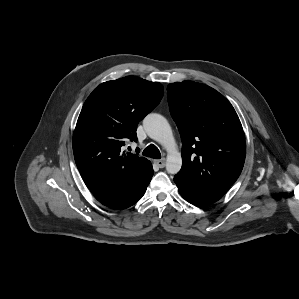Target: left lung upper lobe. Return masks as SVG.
Instances as JSON below:
<instances>
[{
	"instance_id": "1",
	"label": "left lung upper lobe",
	"mask_w": 299,
	"mask_h": 299,
	"mask_svg": "<svg viewBox=\"0 0 299 299\" xmlns=\"http://www.w3.org/2000/svg\"><path fill=\"white\" fill-rule=\"evenodd\" d=\"M167 91L182 139L183 163L176 176L224 195L245 161V136L237 113L223 95L204 84L176 82Z\"/></svg>"
}]
</instances>
